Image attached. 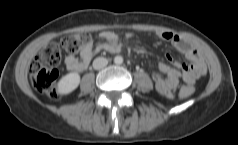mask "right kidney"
Returning a JSON list of instances; mask_svg holds the SVG:
<instances>
[{"label":"right kidney","mask_w":238,"mask_h":145,"mask_svg":"<svg viewBox=\"0 0 238 145\" xmlns=\"http://www.w3.org/2000/svg\"><path fill=\"white\" fill-rule=\"evenodd\" d=\"M80 83V75L76 72H71L63 76L57 85L58 92L66 95L74 91Z\"/></svg>","instance_id":"ca27d5eb"}]
</instances>
